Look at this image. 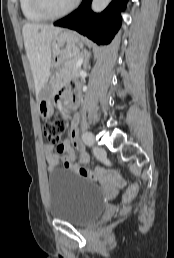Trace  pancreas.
Instances as JSON below:
<instances>
[{
	"label": "pancreas",
	"mask_w": 174,
	"mask_h": 258,
	"mask_svg": "<svg viewBox=\"0 0 174 258\" xmlns=\"http://www.w3.org/2000/svg\"><path fill=\"white\" fill-rule=\"evenodd\" d=\"M79 59L80 56H77L65 62L58 68L56 72L55 86L62 85L72 78L79 77L80 67L75 68V65Z\"/></svg>",
	"instance_id": "pancreas-1"
}]
</instances>
